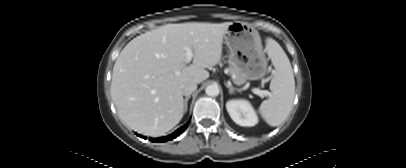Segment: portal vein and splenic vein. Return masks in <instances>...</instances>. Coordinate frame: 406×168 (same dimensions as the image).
Returning a JSON list of instances; mask_svg holds the SVG:
<instances>
[{"label":"portal vein and splenic vein","instance_id":"obj_1","mask_svg":"<svg viewBox=\"0 0 406 168\" xmlns=\"http://www.w3.org/2000/svg\"><path fill=\"white\" fill-rule=\"evenodd\" d=\"M185 51H186V59H185V62H186V63H189V62L192 60L194 54H193V51H192L189 47H186V48H185ZM253 93H254V94H257L258 96H260V97H262V98H263L264 96H271V93H270L269 91H267V90H260V89H258V88H254V89H253Z\"/></svg>","mask_w":406,"mask_h":168}]
</instances>
